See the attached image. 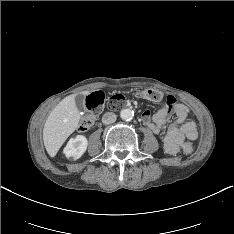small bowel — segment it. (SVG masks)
<instances>
[{"mask_svg": "<svg viewBox=\"0 0 234 234\" xmlns=\"http://www.w3.org/2000/svg\"><path fill=\"white\" fill-rule=\"evenodd\" d=\"M172 114L176 115V121L167 127L162 143L168 154L175 155L187 143L185 140H195L198 137L196 124L193 121H187L189 109L177 103L176 99L170 95L166 98L163 107L153 116L145 110L142 113V120L155 134H160Z\"/></svg>", "mask_w": 234, "mask_h": 234, "instance_id": "1", "label": "small bowel"}]
</instances>
